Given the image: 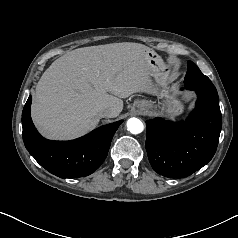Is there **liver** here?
Segmentation results:
<instances>
[{
    "instance_id": "obj_1",
    "label": "liver",
    "mask_w": 238,
    "mask_h": 238,
    "mask_svg": "<svg viewBox=\"0 0 238 238\" xmlns=\"http://www.w3.org/2000/svg\"><path fill=\"white\" fill-rule=\"evenodd\" d=\"M139 43L122 42L78 48L57 60L41 76L31 116L47 138L72 139L97 126L101 108L117 117L121 98L134 93L157 94L153 69Z\"/></svg>"
}]
</instances>
